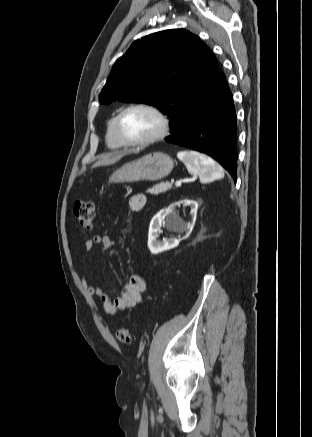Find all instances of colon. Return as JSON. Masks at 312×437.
I'll use <instances>...</instances> for the list:
<instances>
[{"label":"colon","instance_id":"colon-1","mask_svg":"<svg viewBox=\"0 0 312 437\" xmlns=\"http://www.w3.org/2000/svg\"><path fill=\"white\" fill-rule=\"evenodd\" d=\"M74 214L80 226L91 229L95 219V207L92 202L77 201L74 203ZM116 338L123 344H131L133 336L128 328L120 327L116 330Z\"/></svg>","mask_w":312,"mask_h":437}]
</instances>
